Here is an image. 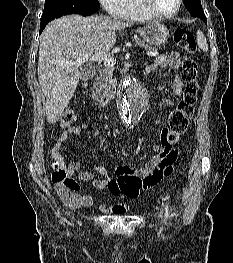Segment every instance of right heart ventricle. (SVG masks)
<instances>
[{"label":"right heart ventricle","instance_id":"obj_1","mask_svg":"<svg viewBox=\"0 0 233 263\" xmlns=\"http://www.w3.org/2000/svg\"><path fill=\"white\" fill-rule=\"evenodd\" d=\"M115 14L123 19L136 21L154 18L142 7L140 0H122Z\"/></svg>","mask_w":233,"mask_h":263}]
</instances>
